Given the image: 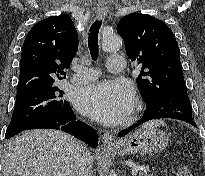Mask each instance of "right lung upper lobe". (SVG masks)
I'll list each match as a JSON object with an SVG mask.
<instances>
[{"label": "right lung upper lobe", "instance_id": "cb5924a9", "mask_svg": "<svg viewBox=\"0 0 205 176\" xmlns=\"http://www.w3.org/2000/svg\"><path fill=\"white\" fill-rule=\"evenodd\" d=\"M78 46L69 15L51 16L36 23L27 34L21 55L17 95L53 87L66 74Z\"/></svg>", "mask_w": 205, "mask_h": 176}]
</instances>
